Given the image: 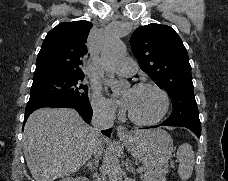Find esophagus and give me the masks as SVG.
<instances>
[{
	"instance_id": "1",
	"label": "esophagus",
	"mask_w": 228,
	"mask_h": 181,
	"mask_svg": "<svg viewBox=\"0 0 228 181\" xmlns=\"http://www.w3.org/2000/svg\"><path fill=\"white\" fill-rule=\"evenodd\" d=\"M116 130H117V136L119 137H127L130 134L128 131V128H126V126H123V125L117 126Z\"/></svg>"
}]
</instances>
